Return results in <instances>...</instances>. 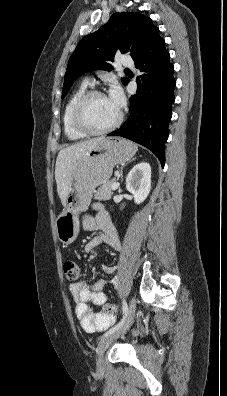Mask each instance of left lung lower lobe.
<instances>
[{"label": "left lung lower lobe", "mask_w": 227, "mask_h": 396, "mask_svg": "<svg viewBox=\"0 0 227 396\" xmlns=\"http://www.w3.org/2000/svg\"><path fill=\"white\" fill-rule=\"evenodd\" d=\"M169 57L165 41L159 38L142 55L133 59L140 71H147L149 74L136 79L138 88L137 93L129 99L131 113L128 120L121 128L108 134L121 136L147 147L159 158L163 167L164 144L168 138L176 85L173 77L174 67ZM145 61L147 66H143Z\"/></svg>", "instance_id": "left-lung-lower-lobe-1"}]
</instances>
